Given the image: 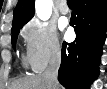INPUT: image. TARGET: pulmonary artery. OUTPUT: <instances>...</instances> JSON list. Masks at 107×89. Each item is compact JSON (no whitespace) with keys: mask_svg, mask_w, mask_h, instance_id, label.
Here are the masks:
<instances>
[{"mask_svg":"<svg viewBox=\"0 0 107 89\" xmlns=\"http://www.w3.org/2000/svg\"><path fill=\"white\" fill-rule=\"evenodd\" d=\"M59 9H60V12L62 14H67L69 12V8L68 6L66 5L65 2H61L60 5H59Z\"/></svg>","mask_w":107,"mask_h":89,"instance_id":"obj_1","label":"pulmonary artery"}]
</instances>
